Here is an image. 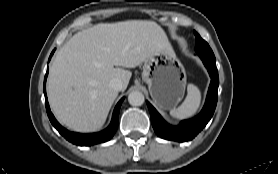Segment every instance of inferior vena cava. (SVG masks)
Wrapping results in <instances>:
<instances>
[{
  "instance_id": "obj_1",
  "label": "inferior vena cava",
  "mask_w": 278,
  "mask_h": 174,
  "mask_svg": "<svg viewBox=\"0 0 278 174\" xmlns=\"http://www.w3.org/2000/svg\"><path fill=\"white\" fill-rule=\"evenodd\" d=\"M110 87L116 91L123 90V82L119 78H114L109 83Z\"/></svg>"
}]
</instances>
